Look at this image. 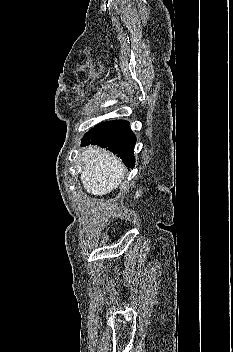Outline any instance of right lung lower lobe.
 I'll use <instances>...</instances> for the list:
<instances>
[{
	"mask_svg": "<svg viewBox=\"0 0 233 352\" xmlns=\"http://www.w3.org/2000/svg\"><path fill=\"white\" fill-rule=\"evenodd\" d=\"M136 137L125 120L106 121L89 130L81 146L98 145L117 154L129 167H134V146Z\"/></svg>",
	"mask_w": 233,
	"mask_h": 352,
	"instance_id": "1",
	"label": "right lung lower lobe"
}]
</instances>
